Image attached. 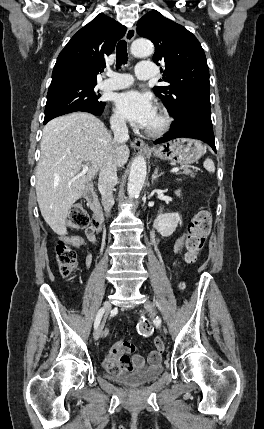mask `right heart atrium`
Wrapping results in <instances>:
<instances>
[{
	"label": "right heart atrium",
	"mask_w": 264,
	"mask_h": 429,
	"mask_svg": "<svg viewBox=\"0 0 264 429\" xmlns=\"http://www.w3.org/2000/svg\"><path fill=\"white\" fill-rule=\"evenodd\" d=\"M111 124L116 129H123L125 127L124 120L117 114L112 115Z\"/></svg>",
	"instance_id": "obj_1"
}]
</instances>
